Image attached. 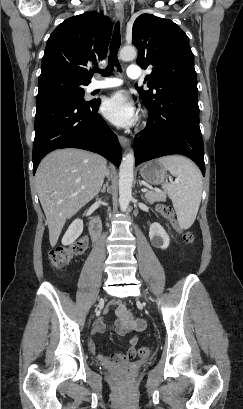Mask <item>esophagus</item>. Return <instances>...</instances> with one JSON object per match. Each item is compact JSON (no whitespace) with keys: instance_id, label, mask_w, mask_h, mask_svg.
Returning a JSON list of instances; mask_svg holds the SVG:
<instances>
[{"instance_id":"34e87169","label":"esophagus","mask_w":243,"mask_h":409,"mask_svg":"<svg viewBox=\"0 0 243 409\" xmlns=\"http://www.w3.org/2000/svg\"><path fill=\"white\" fill-rule=\"evenodd\" d=\"M115 15L118 21L123 24L124 21V8L121 2L115 5ZM119 142L123 148H128L130 146V140L127 137L119 136Z\"/></svg>"}]
</instances>
